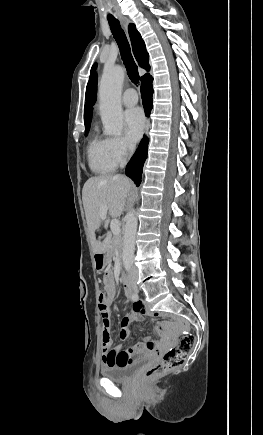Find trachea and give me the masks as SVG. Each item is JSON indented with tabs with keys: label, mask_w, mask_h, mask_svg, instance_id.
Returning a JSON list of instances; mask_svg holds the SVG:
<instances>
[{
	"label": "trachea",
	"mask_w": 263,
	"mask_h": 435,
	"mask_svg": "<svg viewBox=\"0 0 263 435\" xmlns=\"http://www.w3.org/2000/svg\"><path fill=\"white\" fill-rule=\"evenodd\" d=\"M108 22L111 32L118 44L121 58L126 67L128 77L135 85H138L140 80L138 67L132 57L130 45L125 35V32L121 28L118 20H108Z\"/></svg>",
	"instance_id": "3493384b"
}]
</instances>
